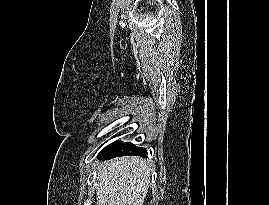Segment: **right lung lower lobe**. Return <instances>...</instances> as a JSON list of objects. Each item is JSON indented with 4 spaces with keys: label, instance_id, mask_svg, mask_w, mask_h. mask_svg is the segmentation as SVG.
Segmentation results:
<instances>
[{
    "label": "right lung lower lobe",
    "instance_id": "right-lung-lower-lobe-1",
    "mask_svg": "<svg viewBox=\"0 0 269 205\" xmlns=\"http://www.w3.org/2000/svg\"><path fill=\"white\" fill-rule=\"evenodd\" d=\"M145 148H137L132 143L113 142L100 151L97 158L107 160L120 156H141L146 157Z\"/></svg>",
    "mask_w": 269,
    "mask_h": 205
}]
</instances>
